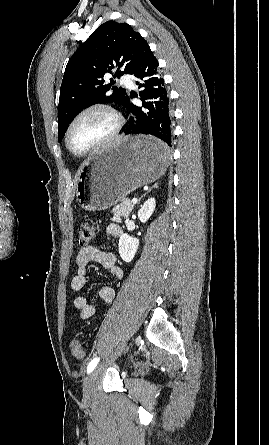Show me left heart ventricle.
<instances>
[{
    "mask_svg": "<svg viewBox=\"0 0 269 445\" xmlns=\"http://www.w3.org/2000/svg\"><path fill=\"white\" fill-rule=\"evenodd\" d=\"M111 128V120L101 112L90 113L81 118L70 135V146L81 152L99 140Z\"/></svg>",
    "mask_w": 269,
    "mask_h": 445,
    "instance_id": "obj_1",
    "label": "left heart ventricle"
}]
</instances>
